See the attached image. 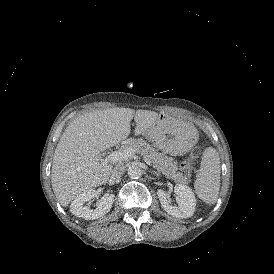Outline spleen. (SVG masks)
I'll return each mask as SVG.
<instances>
[{"mask_svg": "<svg viewBox=\"0 0 274 274\" xmlns=\"http://www.w3.org/2000/svg\"><path fill=\"white\" fill-rule=\"evenodd\" d=\"M220 158L213 147L204 150L194 183L195 193L204 202L214 204L220 189Z\"/></svg>", "mask_w": 274, "mask_h": 274, "instance_id": "1", "label": "spleen"}]
</instances>
